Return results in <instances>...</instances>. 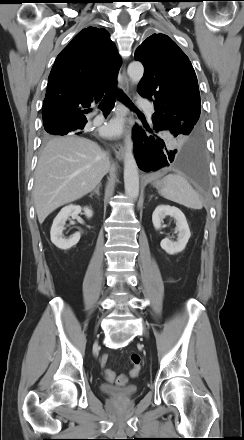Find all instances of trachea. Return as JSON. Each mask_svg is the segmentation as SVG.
I'll return each instance as SVG.
<instances>
[{
    "label": "trachea",
    "mask_w": 244,
    "mask_h": 440,
    "mask_svg": "<svg viewBox=\"0 0 244 440\" xmlns=\"http://www.w3.org/2000/svg\"><path fill=\"white\" fill-rule=\"evenodd\" d=\"M116 97L128 106H132L129 98L120 90L108 91L100 104V109L104 112H110L114 107Z\"/></svg>",
    "instance_id": "obj_1"
}]
</instances>
